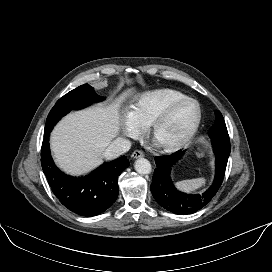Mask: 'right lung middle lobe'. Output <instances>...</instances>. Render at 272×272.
Wrapping results in <instances>:
<instances>
[{"instance_id": "dd1d6c3e", "label": "right lung middle lobe", "mask_w": 272, "mask_h": 272, "mask_svg": "<svg viewBox=\"0 0 272 272\" xmlns=\"http://www.w3.org/2000/svg\"><path fill=\"white\" fill-rule=\"evenodd\" d=\"M104 98L98 96L93 87L88 84L81 85L61 97L51 109L45 125L44 134L51 132L54 125L72 109L77 110L102 101Z\"/></svg>"}]
</instances>
